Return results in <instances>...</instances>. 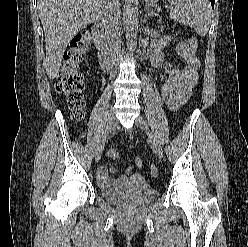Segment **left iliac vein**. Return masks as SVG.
<instances>
[{"mask_svg":"<svg viewBox=\"0 0 248 247\" xmlns=\"http://www.w3.org/2000/svg\"><path fill=\"white\" fill-rule=\"evenodd\" d=\"M135 125L147 133L155 153L158 155L160 159H162L163 158L162 148L156 137L150 131L147 122L141 116H138L135 120Z\"/></svg>","mask_w":248,"mask_h":247,"instance_id":"obj_1","label":"left iliac vein"}]
</instances>
